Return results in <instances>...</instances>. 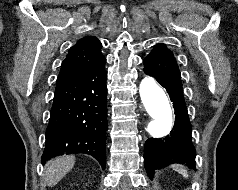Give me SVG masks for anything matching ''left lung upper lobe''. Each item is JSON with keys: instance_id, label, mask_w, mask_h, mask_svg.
I'll use <instances>...</instances> for the list:
<instances>
[{"instance_id": "left-lung-upper-lobe-1", "label": "left lung upper lobe", "mask_w": 238, "mask_h": 190, "mask_svg": "<svg viewBox=\"0 0 238 190\" xmlns=\"http://www.w3.org/2000/svg\"><path fill=\"white\" fill-rule=\"evenodd\" d=\"M152 51L173 55V53L163 43L155 45Z\"/></svg>"}]
</instances>
